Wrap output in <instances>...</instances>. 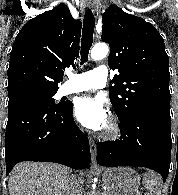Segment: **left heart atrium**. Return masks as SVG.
I'll return each mask as SVG.
<instances>
[{
  "label": "left heart atrium",
  "mask_w": 178,
  "mask_h": 195,
  "mask_svg": "<svg viewBox=\"0 0 178 195\" xmlns=\"http://www.w3.org/2000/svg\"><path fill=\"white\" fill-rule=\"evenodd\" d=\"M74 115L82 126L94 131L105 128L108 122L103 100L89 95L75 100Z\"/></svg>",
  "instance_id": "obj_1"
}]
</instances>
